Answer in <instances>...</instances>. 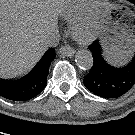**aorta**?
Instances as JSON below:
<instances>
[{
    "mask_svg": "<svg viewBox=\"0 0 135 135\" xmlns=\"http://www.w3.org/2000/svg\"><path fill=\"white\" fill-rule=\"evenodd\" d=\"M77 66L83 70H90L93 66L92 53L87 49H80L75 55Z\"/></svg>",
    "mask_w": 135,
    "mask_h": 135,
    "instance_id": "762f6f07",
    "label": "aorta"
}]
</instances>
